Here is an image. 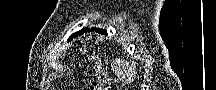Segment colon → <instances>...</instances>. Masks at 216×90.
<instances>
[{
    "instance_id": "5ec220e1",
    "label": "colon",
    "mask_w": 216,
    "mask_h": 90,
    "mask_svg": "<svg viewBox=\"0 0 216 90\" xmlns=\"http://www.w3.org/2000/svg\"><path fill=\"white\" fill-rule=\"evenodd\" d=\"M95 79L90 90H110V79L98 56H94Z\"/></svg>"
}]
</instances>
